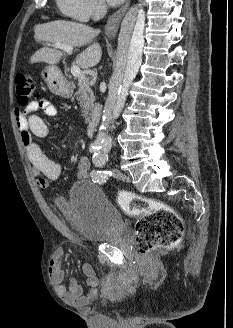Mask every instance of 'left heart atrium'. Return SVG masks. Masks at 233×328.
Segmentation results:
<instances>
[{"mask_svg": "<svg viewBox=\"0 0 233 328\" xmlns=\"http://www.w3.org/2000/svg\"><path fill=\"white\" fill-rule=\"evenodd\" d=\"M107 3L111 6H116L118 4H120L123 0H106Z\"/></svg>", "mask_w": 233, "mask_h": 328, "instance_id": "obj_1", "label": "left heart atrium"}]
</instances>
